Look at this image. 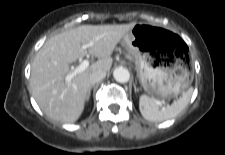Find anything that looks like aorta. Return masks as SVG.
Instances as JSON below:
<instances>
[{
  "instance_id": "aorta-1",
  "label": "aorta",
  "mask_w": 225,
  "mask_h": 155,
  "mask_svg": "<svg viewBox=\"0 0 225 155\" xmlns=\"http://www.w3.org/2000/svg\"><path fill=\"white\" fill-rule=\"evenodd\" d=\"M113 77L119 83H127L130 79V73L126 68L118 67L114 70Z\"/></svg>"
}]
</instances>
